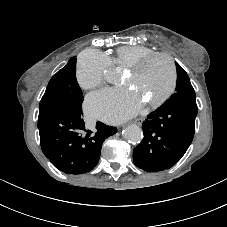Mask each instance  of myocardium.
Wrapping results in <instances>:
<instances>
[{"label": "myocardium", "instance_id": "obj_1", "mask_svg": "<svg viewBox=\"0 0 227 227\" xmlns=\"http://www.w3.org/2000/svg\"><path fill=\"white\" fill-rule=\"evenodd\" d=\"M158 57L165 58L168 61L171 67L172 80L169 88L159 98L147 102V104L151 107L158 106L164 103L167 99L170 98V96L173 94V92L176 89L177 82H178V72L173 58L169 54L164 52H154L152 54L142 57L137 62H135L134 64H132L127 68L128 72L138 73L142 71L148 63H150L152 60Z\"/></svg>", "mask_w": 227, "mask_h": 227}]
</instances>
